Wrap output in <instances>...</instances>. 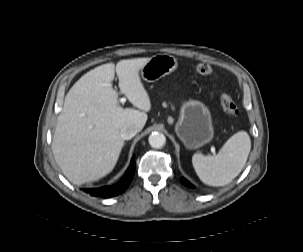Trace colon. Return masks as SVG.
Here are the masks:
<instances>
[{"mask_svg": "<svg viewBox=\"0 0 303 252\" xmlns=\"http://www.w3.org/2000/svg\"><path fill=\"white\" fill-rule=\"evenodd\" d=\"M196 71L201 75H211L213 73L212 67L207 63H200L196 66ZM220 103L225 112L231 116L236 117L239 114V110L234 103L233 99L226 91L220 92Z\"/></svg>", "mask_w": 303, "mask_h": 252, "instance_id": "colon-1", "label": "colon"}]
</instances>
